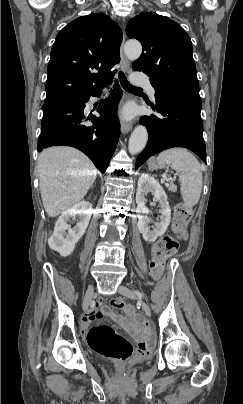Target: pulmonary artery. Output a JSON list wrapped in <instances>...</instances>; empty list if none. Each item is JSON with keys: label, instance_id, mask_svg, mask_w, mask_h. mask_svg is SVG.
<instances>
[{"label": "pulmonary artery", "instance_id": "e3ab8cb5", "mask_svg": "<svg viewBox=\"0 0 243 404\" xmlns=\"http://www.w3.org/2000/svg\"><path fill=\"white\" fill-rule=\"evenodd\" d=\"M146 89L148 94L150 95V97H152L153 99L155 98V88L151 83L146 84Z\"/></svg>", "mask_w": 243, "mask_h": 404}]
</instances>
